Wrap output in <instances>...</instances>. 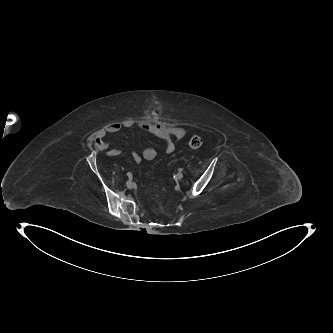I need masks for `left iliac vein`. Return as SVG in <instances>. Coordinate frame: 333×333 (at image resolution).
Returning a JSON list of instances; mask_svg holds the SVG:
<instances>
[{
	"label": "left iliac vein",
	"mask_w": 333,
	"mask_h": 333,
	"mask_svg": "<svg viewBox=\"0 0 333 333\" xmlns=\"http://www.w3.org/2000/svg\"><path fill=\"white\" fill-rule=\"evenodd\" d=\"M183 178V174L181 173V172H179V173H177L176 175H175V179L176 180H180V179H182Z\"/></svg>",
	"instance_id": "obj_1"
}]
</instances>
